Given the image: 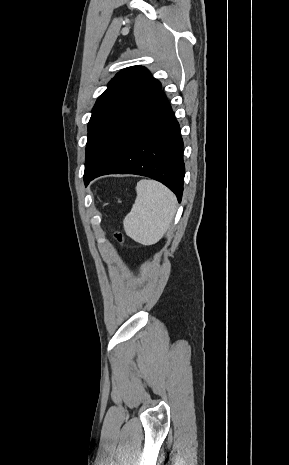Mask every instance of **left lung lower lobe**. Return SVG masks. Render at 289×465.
Returning a JSON list of instances; mask_svg holds the SVG:
<instances>
[{
    "instance_id": "obj_1",
    "label": "left lung lower lobe",
    "mask_w": 289,
    "mask_h": 465,
    "mask_svg": "<svg viewBox=\"0 0 289 465\" xmlns=\"http://www.w3.org/2000/svg\"><path fill=\"white\" fill-rule=\"evenodd\" d=\"M114 173L153 178L170 188L181 201L185 175L183 141L179 124L161 90L86 177L85 184L98 176Z\"/></svg>"
}]
</instances>
